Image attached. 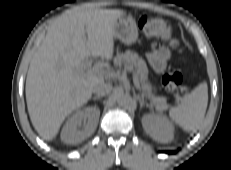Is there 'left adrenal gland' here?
<instances>
[{"label":"left adrenal gland","mask_w":231,"mask_h":170,"mask_svg":"<svg viewBox=\"0 0 231 170\" xmlns=\"http://www.w3.org/2000/svg\"><path fill=\"white\" fill-rule=\"evenodd\" d=\"M138 100L140 102V109H142L143 106H146V107H150L151 106L148 103H146L143 98H140L139 96H138Z\"/></svg>","instance_id":"1"}]
</instances>
